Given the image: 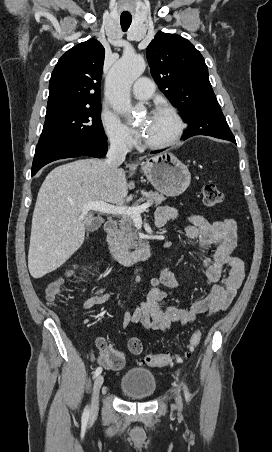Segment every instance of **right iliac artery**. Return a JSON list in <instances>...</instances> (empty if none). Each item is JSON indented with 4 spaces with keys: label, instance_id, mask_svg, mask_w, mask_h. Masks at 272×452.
Listing matches in <instances>:
<instances>
[{
    "label": "right iliac artery",
    "instance_id": "obj_1",
    "mask_svg": "<svg viewBox=\"0 0 272 452\" xmlns=\"http://www.w3.org/2000/svg\"><path fill=\"white\" fill-rule=\"evenodd\" d=\"M102 372V368L98 367L95 372H94V377H97L100 373ZM83 419H88L89 417V409L88 407L85 408L84 412H83Z\"/></svg>",
    "mask_w": 272,
    "mask_h": 452
}]
</instances>
